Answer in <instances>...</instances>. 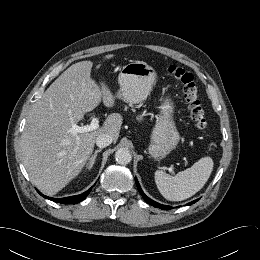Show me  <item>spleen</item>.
Returning <instances> with one entry per match:
<instances>
[{
	"label": "spleen",
	"instance_id": "1",
	"mask_svg": "<svg viewBox=\"0 0 260 260\" xmlns=\"http://www.w3.org/2000/svg\"><path fill=\"white\" fill-rule=\"evenodd\" d=\"M213 170V160L203 157L190 168L171 176L162 170L155 172V183L164 198L182 201L192 197L203 188Z\"/></svg>",
	"mask_w": 260,
	"mask_h": 260
}]
</instances>
